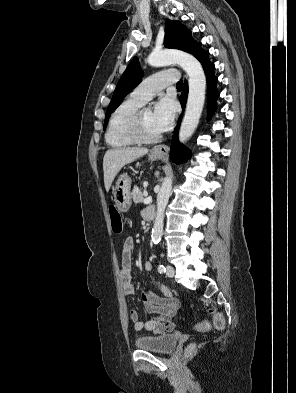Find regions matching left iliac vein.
Here are the masks:
<instances>
[{
  "label": "left iliac vein",
  "mask_w": 296,
  "mask_h": 393,
  "mask_svg": "<svg viewBox=\"0 0 296 393\" xmlns=\"http://www.w3.org/2000/svg\"><path fill=\"white\" fill-rule=\"evenodd\" d=\"M174 273H175V270H174L173 266L167 265V268H166V275H167L168 277H173V276H174Z\"/></svg>",
  "instance_id": "obj_1"
}]
</instances>
